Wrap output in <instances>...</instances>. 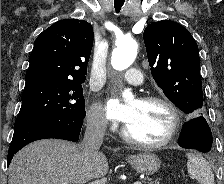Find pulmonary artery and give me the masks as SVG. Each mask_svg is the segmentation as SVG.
I'll return each mask as SVG.
<instances>
[{
  "instance_id": "pulmonary-artery-1",
  "label": "pulmonary artery",
  "mask_w": 224,
  "mask_h": 184,
  "mask_svg": "<svg viewBox=\"0 0 224 184\" xmlns=\"http://www.w3.org/2000/svg\"><path fill=\"white\" fill-rule=\"evenodd\" d=\"M123 77L131 85L140 86L143 84V75L137 69H129Z\"/></svg>"
}]
</instances>
